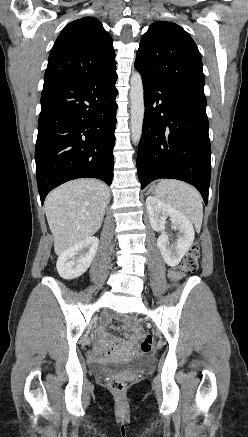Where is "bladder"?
<instances>
[{"instance_id":"bladder-1","label":"bladder","mask_w":248,"mask_h":437,"mask_svg":"<svg viewBox=\"0 0 248 437\" xmlns=\"http://www.w3.org/2000/svg\"><path fill=\"white\" fill-rule=\"evenodd\" d=\"M147 357H136L125 362H106L95 367L96 373L100 375L125 376L136 374L150 365Z\"/></svg>"}]
</instances>
